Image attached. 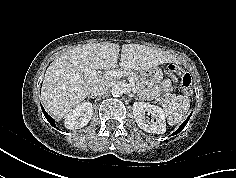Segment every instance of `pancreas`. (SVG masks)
<instances>
[{
    "label": "pancreas",
    "instance_id": "obj_1",
    "mask_svg": "<svg viewBox=\"0 0 236 178\" xmlns=\"http://www.w3.org/2000/svg\"><path fill=\"white\" fill-rule=\"evenodd\" d=\"M123 76L133 79L134 91L137 93L138 97L143 100H152L160 95V90L155 88H148L143 85L140 81L137 73L130 70L121 71Z\"/></svg>",
    "mask_w": 236,
    "mask_h": 178
}]
</instances>
